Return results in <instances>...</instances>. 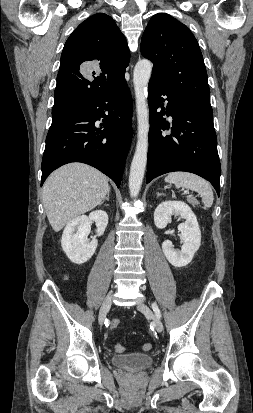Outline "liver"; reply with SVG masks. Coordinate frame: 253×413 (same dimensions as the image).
Instances as JSON below:
<instances>
[{"mask_svg": "<svg viewBox=\"0 0 253 413\" xmlns=\"http://www.w3.org/2000/svg\"><path fill=\"white\" fill-rule=\"evenodd\" d=\"M109 191L107 177L89 165L71 163L55 170L42 190L52 229L58 232L71 220L94 209Z\"/></svg>", "mask_w": 253, "mask_h": 413, "instance_id": "1", "label": "liver"}]
</instances>
